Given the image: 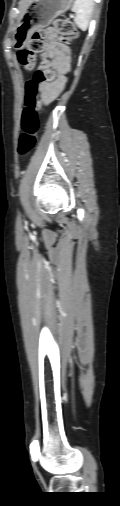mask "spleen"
Instances as JSON below:
<instances>
[{"instance_id":"1","label":"spleen","mask_w":120,"mask_h":506,"mask_svg":"<svg viewBox=\"0 0 120 506\" xmlns=\"http://www.w3.org/2000/svg\"><path fill=\"white\" fill-rule=\"evenodd\" d=\"M94 7L93 0H75L72 11L76 14L74 22L82 31L87 30Z\"/></svg>"}]
</instances>
